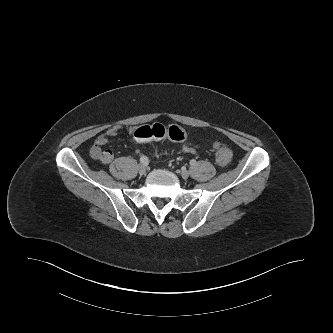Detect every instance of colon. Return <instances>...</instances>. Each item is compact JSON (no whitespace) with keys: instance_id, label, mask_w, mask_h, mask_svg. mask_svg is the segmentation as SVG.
Masks as SVG:
<instances>
[{"instance_id":"obj_1","label":"colon","mask_w":333,"mask_h":333,"mask_svg":"<svg viewBox=\"0 0 333 333\" xmlns=\"http://www.w3.org/2000/svg\"><path fill=\"white\" fill-rule=\"evenodd\" d=\"M134 137L139 141L159 140L165 137L173 141H183L186 138L185 132L176 125L166 127L162 124L144 125L137 128ZM214 153L219 164H227L232 158L231 150L220 143H215Z\"/></svg>"}]
</instances>
